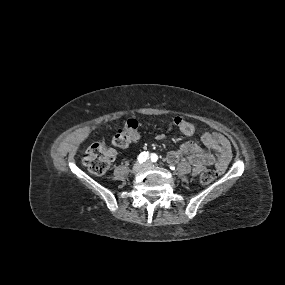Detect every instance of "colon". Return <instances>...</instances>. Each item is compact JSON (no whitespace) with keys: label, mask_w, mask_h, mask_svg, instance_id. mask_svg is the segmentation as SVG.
<instances>
[{"label":"colon","mask_w":285,"mask_h":285,"mask_svg":"<svg viewBox=\"0 0 285 285\" xmlns=\"http://www.w3.org/2000/svg\"><path fill=\"white\" fill-rule=\"evenodd\" d=\"M174 123L185 136H193L196 132L195 124L183 117H175ZM138 138V121L136 119H129L114 135L113 144L119 148H126ZM114 156L112 148L103 142H97L87 149L83 157V164L92 174L100 176L105 174L110 168L114 161ZM217 176L218 173L215 170L208 169L201 174L200 181L202 184H209Z\"/></svg>","instance_id":"colon-1"}]
</instances>
